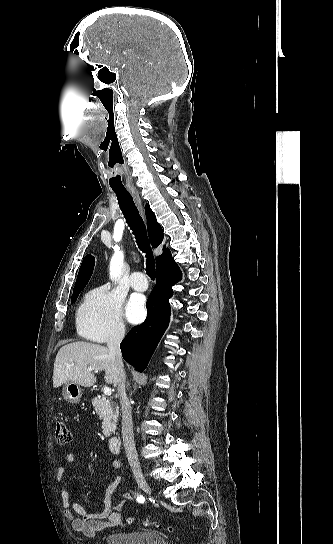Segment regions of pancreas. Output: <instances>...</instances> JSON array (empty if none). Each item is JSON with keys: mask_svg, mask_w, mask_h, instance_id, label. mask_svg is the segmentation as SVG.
Segmentation results:
<instances>
[{"mask_svg": "<svg viewBox=\"0 0 333 544\" xmlns=\"http://www.w3.org/2000/svg\"><path fill=\"white\" fill-rule=\"evenodd\" d=\"M92 404L102 420L103 434L110 436L116 429L119 414L116 404L106 397H102L101 399L93 398Z\"/></svg>", "mask_w": 333, "mask_h": 544, "instance_id": "1", "label": "pancreas"}]
</instances>
